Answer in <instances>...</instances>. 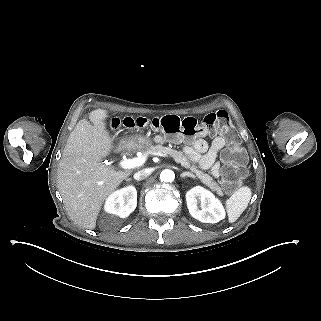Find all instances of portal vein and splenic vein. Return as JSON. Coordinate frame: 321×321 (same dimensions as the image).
I'll use <instances>...</instances> for the list:
<instances>
[{"instance_id": "18ae733b", "label": "portal vein and splenic vein", "mask_w": 321, "mask_h": 321, "mask_svg": "<svg viewBox=\"0 0 321 321\" xmlns=\"http://www.w3.org/2000/svg\"><path fill=\"white\" fill-rule=\"evenodd\" d=\"M151 155H158L161 157L169 158V155L167 153H158V152H151ZM147 159V156L143 155L141 157H136L133 159H125L120 162V166L124 169H132L135 167H139L145 163Z\"/></svg>"}]
</instances>
